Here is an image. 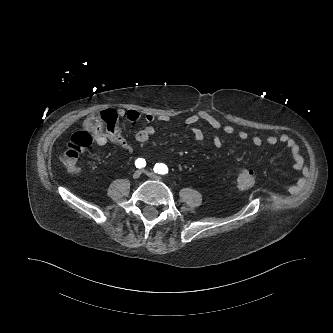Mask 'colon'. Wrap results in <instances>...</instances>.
<instances>
[{
  "label": "colon",
  "mask_w": 333,
  "mask_h": 333,
  "mask_svg": "<svg viewBox=\"0 0 333 333\" xmlns=\"http://www.w3.org/2000/svg\"><path fill=\"white\" fill-rule=\"evenodd\" d=\"M118 113L114 109H105L89 115L83 122L81 130L70 138L61 161L66 169L72 173L80 170V154L87 149L97 138L113 133L117 127ZM256 174L251 169H242L237 175V184L241 189L253 186Z\"/></svg>",
  "instance_id": "5ec220e1"
}]
</instances>
